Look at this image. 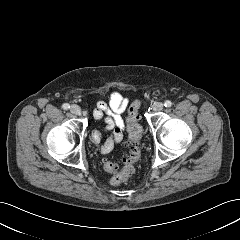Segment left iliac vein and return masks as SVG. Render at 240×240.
Instances as JSON below:
<instances>
[{"label": "left iliac vein", "instance_id": "left-iliac-vein-1", "mask_svg": "<svg viewBox=\"0 0 240 240\" xmlns=\"http://www.w3.org/2000/svg\"><path fill=\"white\" fill-rule=\"evenodd\" d=\"M164 105L162 102H156L154 105H153V110L158 112V111H161L163 109Z\"/></svg>", "mask_w": 240, "mask_h": 240}]
</instances>
